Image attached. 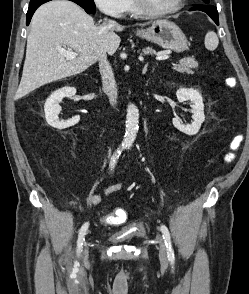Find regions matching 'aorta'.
<instances>
[{
	"label": "aorta",
	"instance_id": "aorta-1",
	"mask_svg": "<svg viewBox=\"0 0 249 294\" xmlns=\"http://www.w3.org/2000/svg\"><path fill=\"white\" fill-rule=\"evenodd\" d=\"M125 123L126 129L123 139V145L126 147H131L136 139L139 123V110L134 104H129L127 107Z\"/></svg>",
	"mask_w": 249,
	"mask_h": 294
}]
</instances>
